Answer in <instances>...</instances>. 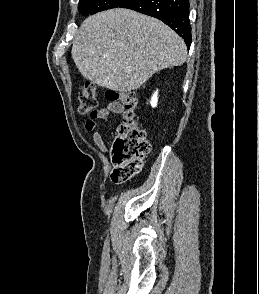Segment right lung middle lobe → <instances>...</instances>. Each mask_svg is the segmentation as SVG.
I'll list each match as a JSON object with an SVG mask.
<instances>
[{"label":"right lung middle lobe","mask_w":259,"mask_h":294,"mask_svg":"<svg viewBox=\"0 0 259 294\" xmlns=\"http://www.w3.org/2000/svg\"><path fill=\"white\" fill-rule=\"evenodd\" d=\"M127 1L129 0H80L78 10L82 15L87 16L111 8H117Z\"/></svg>","instance_id":"dd1d6c3e"}]
</instances>
